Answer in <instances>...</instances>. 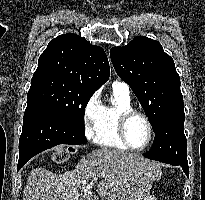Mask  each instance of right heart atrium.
I'll return each instance as SVG.
<instances>
[{
  "label": "right heart atrium",
  "instance_id": "1",
  "mask_svg": "<svg viewBox=\"0 0 205 200\" xmlns=\"http://www.w3.org/2000/svg\"><path fill=\"white\" fill-rule=\"evenodd\" d=\"M102 108L100 91H95L83 108V126L88 139L93 140L97 135Z\"/></svg>",
  "mask_w": 205,
  "mask_h": 200
}]
</instances>
